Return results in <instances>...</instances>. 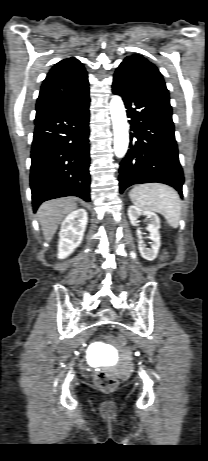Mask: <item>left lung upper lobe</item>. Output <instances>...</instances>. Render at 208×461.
I'll use <instances>...</instances> for the list:
<instances>
[{
	"label": "left lung upper lobe",
	"instance_id": "obj_1",
	"mask_svg": "<svg viewBox=\"0 0 208 461\" xmlns=\"http://www.w3.org/2000/svg\"><path fill=\"white\" fill-rule=\"evenodd\" d=\"M115 74L121 75L136 86L169 95L163 76L158 68L142 55L135 54L127 56L116 69Z\"/></svg>",
	"mask_w": 208,
	"mask_h": 461
}]
</instances>
